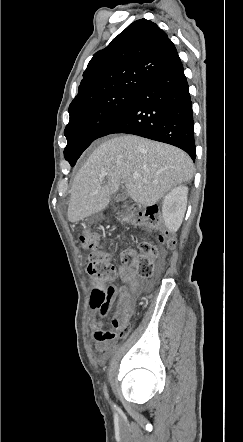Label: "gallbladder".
I'll list each match as a JSON object with an SVG mask.
<instances>
[{
  "mask_svg": "<svg viewBox=\"0 0 243 442\" xmlns=\"http://www.w3.org/2000/svg\"><path fill=\"white\" fill-rule=\"evenodd\" d=\"M127 198V192L125 191V188H122V192L120 194H116L113 196L114 200L120 201L125 200Z\"/></svg>",
  "mask_w": 243,
  "mask_h": 442,
  "instance_id": "bac80fb5",
  "label": "gallbladder"
}]
</instances>
